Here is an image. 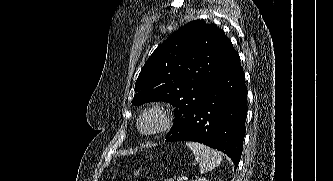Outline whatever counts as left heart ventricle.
Masks as SVG:
<instances>
[{
    "label": "left heart ventricle",
    "mask_w": 333,
    "mask_h": 181,
    "mask_svg": "<svg viewBox=\"0 0 333 181\" xmlns=\"http://www.w3.org/2000/svg\"><path fill=\"white\" fill-rule=\"evenodd\" d=\"M154 124V120L152 118L145 121V126H151Z\"/></svg>",
    "instance_id": "obj_1"
}]
</instances>
